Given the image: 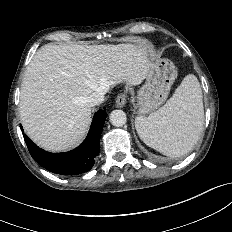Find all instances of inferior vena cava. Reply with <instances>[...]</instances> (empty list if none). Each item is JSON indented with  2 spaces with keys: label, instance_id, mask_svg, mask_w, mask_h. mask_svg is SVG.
<instances>
[{
  "label": "inferior vena cava",
  "instance_id": "obj_1",
  "mask_svg": "<svg viewBox=\"0 0 232 232\" xmlns=\"http://www.w3.org/2000/svg\"><path fill=\"white\" fill-rule=\"evenodd\" d=\"M108 92V89H102L97 92L92 93L88 98H87V103L90 106H96L101 104L104 101L105 94Z\"/></svg>",
  "mask_w": 232,
  "mask_h": 232
}]
</instances>
